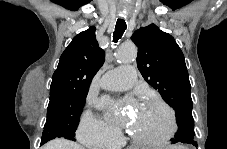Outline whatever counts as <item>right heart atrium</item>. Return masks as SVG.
Here are the masks:
<instances>
[{
  "mask_svg": "<svg viewBox=\"0 0 227 149\" xmlns=\"http://www.w3.org/2000/svg\"><path fill=\"white\" fill-rule=\"evenodd\" d=\"M119 131L91 112H85L78 127L80 142L90 147H108L116 144Z\"/></svg>",
  "mask_w": 227,
  "mask_h": 149,
  "instance_id": "d8ad5b80",
  "label": "right heart atrium"
}]
</instances>
